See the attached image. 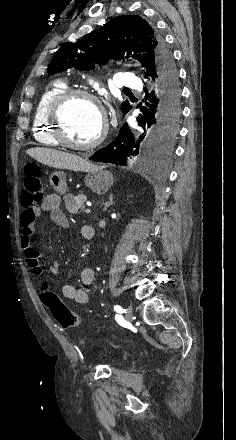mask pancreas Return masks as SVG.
<instances>
[{
	"label": "pancreas",
	"instance_id": "1",
	"mask_svg": "<svg viewBox=\"0 0 236 440\" xmlns=\"http://www.w3.org/2000/svg\"><path fill=\"white\" fill-rule=\"evenodd\" d=\"M65 206L69 213L76 214L79 209L84 211V202L87 200V196L84 194H79L77 196H73L72 194H68L64 197Z\"/></svg>",
	"mask_w": 236,
	"mask_h": 440
}]
</instances>
